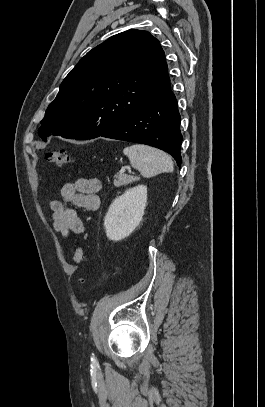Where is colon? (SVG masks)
Returning <instances> with one entry per match:
<instances>
[{"label":"colon","mask_w":265,"mask_h":407,"mask_svg":"<svg viewBox=\"0 0 265 407\" xmlns=\"http://www.w3.org/2000/svg\"><path fill=\"white\" fill-rule=\"evenodd\" d=\"M46 160L53 165L63 166L72 162L71 155L65 149H53L47 152ZM73 262L76 265H81L84 261V249L79 246L73 254Z\"/></svg>","instance_id":"colon-1"}]
</instances>
